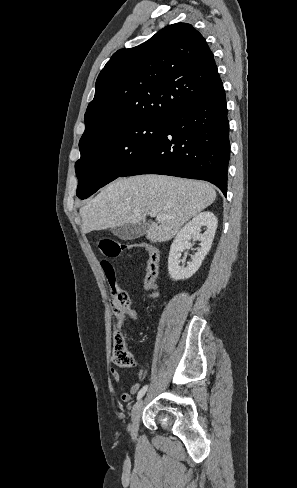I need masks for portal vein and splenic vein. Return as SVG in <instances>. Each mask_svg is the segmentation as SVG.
I'll list each match as a JSON object with an SVG mask.
<instances>
[{
	"mask_svg": "<svg viewBox=\"0 0 297 488\" xmlns=\"http://www.w3.org/2000/svg\"><path fill=\"white\" fill-rule=\"evenodd\" d=\"M148 214H149L151 217H153V216H157V219H158L159 221H163V220H165V216H163V215H158V214H157V212H155V211H150Z\"/></svg>",
	"mask_w": 297,
	"mask_h": 488,
	"instance_id": "1",
	"label": "portal vein and splenic vein"
}]
</instances>
